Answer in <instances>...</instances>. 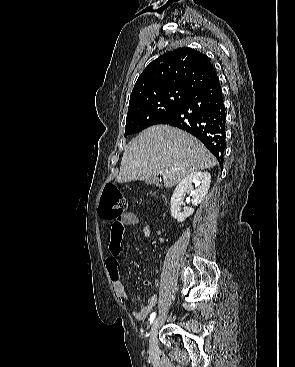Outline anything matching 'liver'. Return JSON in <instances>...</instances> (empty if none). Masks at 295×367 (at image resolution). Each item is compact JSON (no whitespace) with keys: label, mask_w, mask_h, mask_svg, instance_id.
<instances>
[{"label":"liver","mask_w":295,"mask_h":367,"mask_svg":"<svg viewBox=\"0 0 295 367\" xmlns=\"http://www.w3.org/2000/svg\"><path fill=\"white\" fill-rule=\"evenodd\" d=\"M217 159L192 135L167 125L142 131L123 154L119 183L156 179L161 171L164 186L171 188L190 173L216 166Z\"/></svg>","instance_id":"obj_1"}]
</instances>
